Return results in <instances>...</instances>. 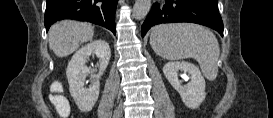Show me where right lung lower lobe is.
Listing matches in <instances>:
<instances>
[{"label":"right lung lower lobe","mask_w":273,"mask_h":118,"mask_svg":"<svg viewBox=\"0 0 273 118\" xmlns=\"http://www.w3.org/2000/svg\"><path fill=\"white\" fill-rule=\"evenodd\" d=\"M118 0H47L46 31L62 19H76L101 25L115 34V11Z\"/></svg>","instance_id":"1"}]
</instances>
